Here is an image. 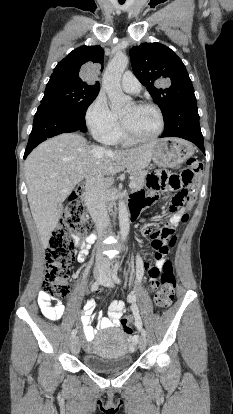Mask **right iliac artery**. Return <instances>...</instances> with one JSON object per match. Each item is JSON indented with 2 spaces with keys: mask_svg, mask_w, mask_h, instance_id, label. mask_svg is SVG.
Returning a JSON list of instances; mask_svg holds the SVG:
<instances>
[{
  "mask_svg": "<svg viewBox=\"0 0 233 414\" xmlns=\"http://www.w3.org/2000/svg\"><path fill=\"white\" fill-rule=\"evenodd\" d=\"M101 281H102V279L100 278V279H98L97 281H95V282L92 284V286H91V291H92V292H95V291H97V290H98V288H99V286H100V284H101ZM76 333H77V330H76V329H74V330L72 331V333H71V338H74V337H75V335H76Z\"/></svg>",
  "mask_w": 233,
  "mask_h": 414,
  "instance_id": "1",
  "label": "right iliac artery"
}]
</instances>
